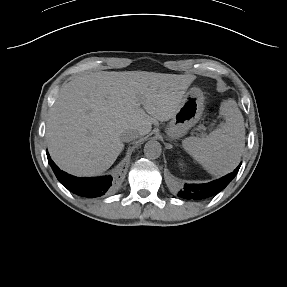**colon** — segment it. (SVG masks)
<instances>
[{
  "instance_id": "obj_1",
  "label": "colon",
  "mask_w": 287,
  "mask_h": 287,
  "mask_svg": "<svg viewBox=\"0 0 287 287\" xmlns=\"http://www.w3.org/2000/svg\"><path fill=\"white\" fill-rule=\"evenodd\" d=\"M215 114V110L213 107H210L208 110H207V115L208 116H212Z\"/></svg>"
}]
</instances>
